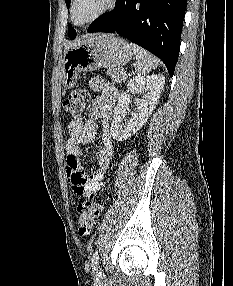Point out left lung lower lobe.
Masks as SVG:
<instances>
[{
  "instance_id": "obj_1",
  "label": "left lung lower lobe",
  "mask_w": 233,
  "mask_h": 286,
  "mask_svg": "<svg viewBox=\"0 0 233 286\" xmlns=\"http://www.w3.org/2000/svg\"><path fill=\"white\" fill-rule=\"evenodd\" d=\"M186 3L187 0H117L109 14L92 22L89 32H117L160 58L172 77Z\"/></svg>"
}]
</instances>
